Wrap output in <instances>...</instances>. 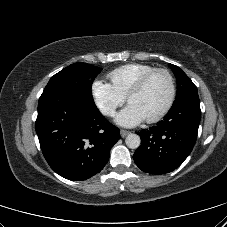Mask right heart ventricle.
Masks as SVG:
<instances>
[{"label": "right heart ventricle", "instance_id": "right-heart-ventricle-1", "mask_svg": "<svg viewBox=\"0 0 227 227\" xmlns=\"http://www.w3.org/2000/svg\"><path fill=\"white\" fill-rule=\"evenodd\" d=\"M155 67L143 63H130L115 68L108 74L111 85L125 97L132 85L145 73Z\"/></svg>", "mask_w": 227, "mask_h": 227}]
</instances>
